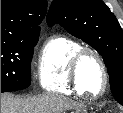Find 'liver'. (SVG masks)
Listing matches in <instances>:
<instances>
[{
	"mask_svg": "<svg viewBox=\"0 0 123 113\" xmlns=\"http://www.w3.org/2000/svg\"><path fill=\"white\" fill-rule=\"evenodd\" d=\"M76 107V103L59 95L14 97L1 94V113H61Z\"/></svg>",
	"mask_w": 123,
	"mask_h": 113,
	"instance_id": "obj_1",
	"label": "liver"
}]
</instances>
